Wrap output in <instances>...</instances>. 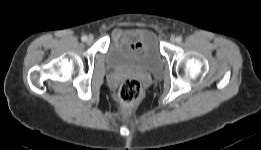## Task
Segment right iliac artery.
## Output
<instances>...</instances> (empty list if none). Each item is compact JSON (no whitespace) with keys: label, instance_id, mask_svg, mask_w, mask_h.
Returning a JSON list of instances; mask_svg holds the SVG:
<instances>
[{"label":"right iliac artery","instance_id":"1","mask_svg":"<svg viewBox=\"0 0 261 150\" xmlns=\"http://www.w3.org/2000/svg\"><path fill=\"white\" fill-rule=\"evenodd\" d=\"M81 40L85 42L87 40V36H82Z\"/></svg>","mask_w":261,"mask_h":150}]
</instances>
